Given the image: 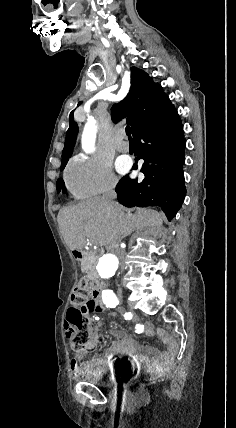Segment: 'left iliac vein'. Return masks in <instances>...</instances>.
<instances>
[{
	"label": "left iliac vein",
	"instance_id": "left-iliac-vein-1",
	"mask_svg": "<svg viewBox=\"0 0 236 428\" xmlns=\"http://www.w3.org/2000/svg\"><path fill=\"white\" fill-rule=\"evenodd\" d=\"M118 296L120 297V299H123V293L122 292H119Z\"/></svg>",
	"mask_w": 236,
	"mask_h": 428
}]
</instances>
